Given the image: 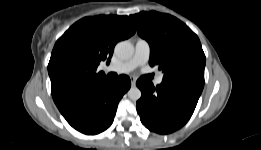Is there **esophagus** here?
Segmentation results:
<instances>
[{
    "label": "esophagus",
    "mask_w": 261,
    "mask_h": 150,
    "mask_svg": "<svg viewBox=\"0 0 261 150\" xmlns=\"http://www.w3.org/2000/svg\"><path fill=\"white\" fill-rule=\"evenodd\" d=\"M131 85L133 87L136 85V79L135 78H131Z\"/></svg>",
    "instance_id": "1"
}]
</instances>
